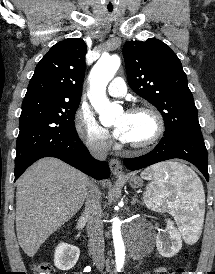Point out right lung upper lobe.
Here are the masks:
<instances>
[{
  "label": "right lung upper lobe",
  "mask_w": 215,
  "mask_h": 274,
  "mask_svg": "<svg viewBox=\"0 0 215 274\" xmlns=\"http://www.w3.org/2000/svg\"><path fill=\"white\" fill-rule=\"evenodd\" d=\"M86 44L68 38L55 44L35 68L23 103L36 100L80 102Z\"/></svg>",
  "instance_id": "1"
}]
</instances>
